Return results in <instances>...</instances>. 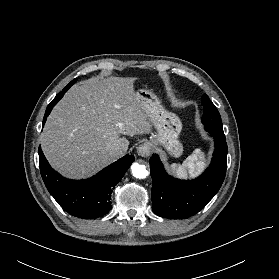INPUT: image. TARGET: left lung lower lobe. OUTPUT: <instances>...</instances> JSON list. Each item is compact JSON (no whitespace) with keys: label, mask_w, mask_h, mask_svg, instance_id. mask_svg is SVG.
<instances>
[{"label":"left lung lower lobe","mask_w":279,"mask_h":279,"mask_svg":"<svg viewBox=\"0 0 279 279\" xmlns=\"http://www.w3.org/2000/svg\"><path fill=\"white\" fill-rule=\"evenodd\" d=\"M207 131V130H206ZM215 150L210 166L194 180L169 176L157 154L150 158L152 209L164 218L183 219L198 213L220 189L227 168V144L224 136L207 131Z\"/></svg>","instance_id":"left-lung-lower-lobe-1"}]
</instances>
